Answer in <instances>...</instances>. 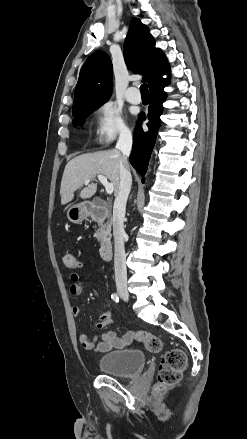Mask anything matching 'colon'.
<instances>
[{"mask_svg":"<svg viewBox=\"0 0 247 439\" xmlns=\"http://www.w3.org/2000/svg\"><path fill=\"white\" fill-rule=\"evenodd\" d=\"M64 264L70 269H77L81 267V262L73 254H66L63 258ZM138 341L142 342L146 349L151 353H159L162 350V340L153 334L140 331L136 334ZM187 357L181 349H171L167 351L161 359L157 383L155 385L156 391H162L178 383L181 379L182 373L186 368Z\"/></svg>","mask_w":247,"mask_h":439,"instance_id":"5ec220e1","label":"colon"}]
</instances>
